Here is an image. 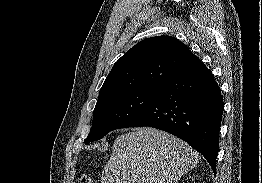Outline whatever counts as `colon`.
<instances>
[{"label": "colon", "instance_id": "obj_1", "mask_svg": "<svg viewBox=\"0 0 262 183\" xmlns=\"http://www.w3.org/2000/svg\"><path fill=\"white\" fill-rule=\"evenodd\" d=\"M78 183H94L90 176L83 175L79 178Z\"/></svg>", "mask_w": 262, "mask_h": 183}]
</instances>
